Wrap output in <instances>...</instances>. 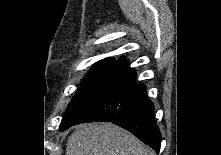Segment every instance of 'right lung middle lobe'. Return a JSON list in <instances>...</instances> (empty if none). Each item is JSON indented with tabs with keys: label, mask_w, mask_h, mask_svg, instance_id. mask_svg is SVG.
Masks as SVG:
<instances>
[{
	"label": "right lung middle lobe",
	"mask_w": 221,
	"mask_h": 155,
	"mask_svg": "<svg viewBox=\"0 0 221 155\" xmlns=\"http://www.w3.org/2000/svg\"><path fill=\"white\" fill-rule=\"evenodd\" d=\"M122 59L107 58L93 65L90 73L82 80V86L75 93L68 105L65 118L60 124L64 131L72 125L79 124L94 106L107 80Z\"/></svg>",
	"instance_id": "1"
}]
</instances>
